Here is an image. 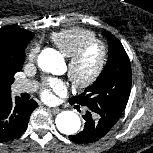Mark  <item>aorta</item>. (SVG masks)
I'll list each match as a JSON object with an SVG mask.
<instances>
[{
    "label": "aorta",
    "instance_id": "aorta-1",
    "mask_svg": "<svg viewBox=\"0 0 153 153\" xmlns=\"http://www.w3.org/2000/svg\"><path fill=\"white\" fill-rule=\"evenodd\" d=\"M38 66L46 72L59 74L62 66L60 55L52 50H43L38 56ZM57 129L65 135H73L81 127L79 116L73 111H62L56 117Z\"/></svg>",
    "mask_w": 153,
    "mask_h": 153
}]
</instances>
